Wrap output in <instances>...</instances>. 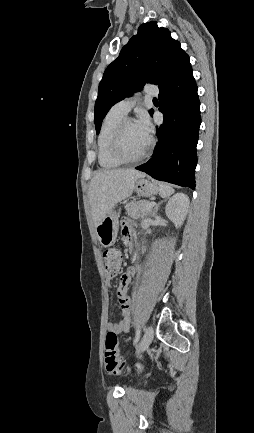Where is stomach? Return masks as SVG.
I'll list each match as a JSON object with an SVG mask.
<instances>
[{
  "label": "stomach",
  "instance_id": "1",
  "mask_svg": "<svg viewBox=\"0 0 254 433\" xmlns=\"http://www.w3.org/2000/svg\"><path fill=\"white\" fill-rule=\"evenodd\" d=\"M135 192L143 197H151L159 192L155 182L144 177L137 179L134 187ZM118 216L116 211L111 210L96 227V234L100 244L104 247L112 246L117 238Z\"/></svg>",
  "mask_w": 254,
  "mask_h": 433
}]
</instances>
